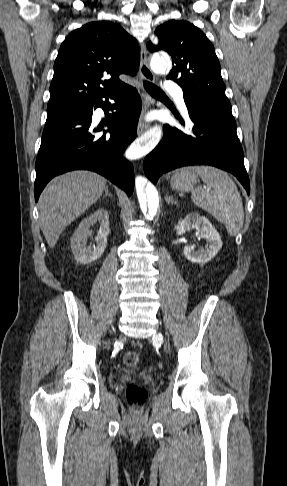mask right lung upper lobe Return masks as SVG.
<instances>
[{
	"label": "right lung upper lobe",
	"instance_id": "obj_1",
	"mask_svg": "<svg viewBox=\"0 0 287 486\" xmlns=\"http://www.w3.org/2000/svg\"><path fill=\"white\" fill-rule=\"evenodd\" d=\"M139 59L137 41L117 23L91 22L72 31L54 63L47 110L84 106L125 88L119 75H134Z\"/></svg>",
	"mask_w": 287,
	"mask_h": 486
}]
</instances>
